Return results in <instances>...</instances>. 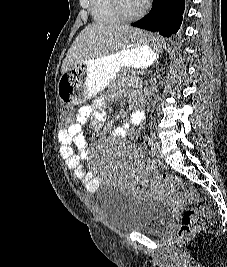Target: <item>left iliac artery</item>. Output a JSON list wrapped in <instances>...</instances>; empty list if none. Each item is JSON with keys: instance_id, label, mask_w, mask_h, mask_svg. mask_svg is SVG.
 I'll return each mask as SVG.
<instances>
[{"instance_id": "1", "label": "left iliac artery", "mask_w": 227, "mask_h": 267, "mask_svg": "<svg viewBox=\"0 0 227 267\" xmlns=\"http://www.w3.org/2000/svg\"><path fill=\"white\" fill-rule=\"evenodd\" d=\"M154 144V140L152 137L148 138V145L151 146V148L153 147Z\"/></svg>"}]
</instances>
